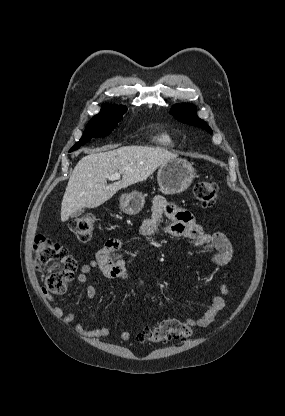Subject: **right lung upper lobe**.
Returning a JSON list of instances; mask_svg holds the SVG:
<instances>
[{
  "instance_id": "right-lung-upper-lobe-1",
  "label": "right lung upper lobe",
  "mask_w": 285,
  "mask_h": 416,
  "mask_svg": "<svg viewBox=\"0 0 285 416\" xmlns=\"http://www.w3.org/2000/svg\"><path fill=\"white\" fill-rule=\"evenodd\" d=\"M123 109H127V107L125 106H112L109 104H105L101 110H109V111H119V110H123Z\"/></svg>"
}]
</instances>
